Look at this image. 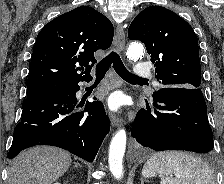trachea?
Listing matches in <instances>:
<instances>
[{"label": "trachea", "mask_w": 224, "mask_h": 184, "mask_svg": "<svg viewBox=\"0 0 224 184\" xmlns=\"http://www.w3.org/2000/svg\"><path fill=\"white\" fill-rule=\"evenodd\" d=\"M111 64H113L116 73L126 81H147L144 78H139L129 72L121 61L120 56L116 52H111L103 58L96 66V79L100 80L104 77Z\"/></svg>", "instance_id": "trachea-1"}]
</instances>
